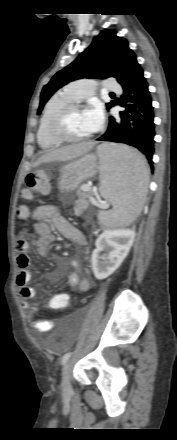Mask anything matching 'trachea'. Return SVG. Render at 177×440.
<instances>
[{
    "mask_svg": "<svg viewBox=\"0 0 177 440\" xmlns=\"http://www.w3.org/2000/svg\"><path fill=\"white\" fill-rule=\"evenodd\" d=\"M110 95H114V93L111 92Z\"/></svg>",
    "mask_w": 177,
    "mask_h": 440,
    "instance_id": "trachea-1",
    "label": "trachea"
}]
</instances>
